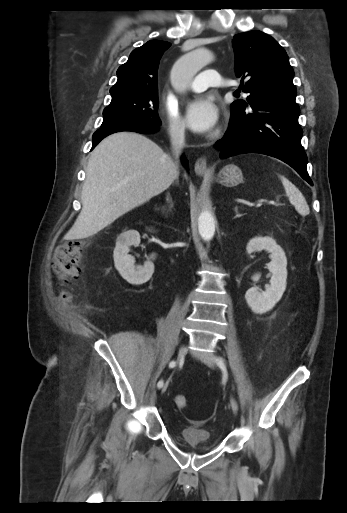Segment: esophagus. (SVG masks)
I'll return each instance as SVG.
<instances>
[{
  "mask_svg": "<svg viewBox=\"0 0 347 513\" xmlns=\"http://www.w3.org/2000/svg\"><path fill=\"white\" fill-rule=\"evenodd\" d=\"M194 171L197 175L200 176L207 175L210 172L207 168V161L205 157H200L197 159L194 165Z\"/></svg>",
  "mask_w": 347,
  "mask_h": 513,
  "instance_id": "1",
  "label": "esophagus"
}]
</instances>
